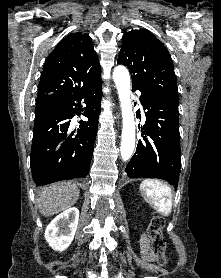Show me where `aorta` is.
Here are the masks:
<instances>
[{"instance_id":"aorta-1","label":"aorta","mask_w":221,"mask_h":278,"mask_svg":"<svg viewBox=\"0 0 221 278\" xmlns=\"http://www.w3.org/2000/svg\"><path fill=\"white\" fill-rule=\"evenodd\" d=\"M113 80L118 91L123 118L121 158L127 161L132 156L135 148V121L130 97V76L127 68L122 65L115 67Z\"/></svg>"}]
</instances>
